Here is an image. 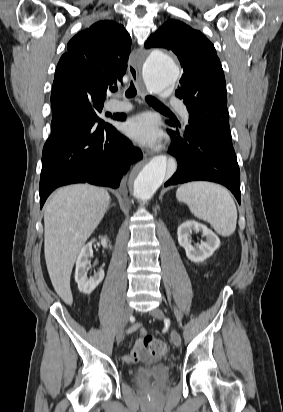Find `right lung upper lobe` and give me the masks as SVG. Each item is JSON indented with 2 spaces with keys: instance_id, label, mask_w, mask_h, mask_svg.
<instances>
[{
  "instance_id": "obj_1",
  "label": "right lung upper lobe",
  "mask_w": 283,
  "mask_h": 412,
  "mask_svg": "<svg viewBox=\"0 0 283 412\" xmlns=\"http://www.w3.org/2000/svg\"><path fill=\"white\" fill-rule=\"evenodd\" d=\"M130 47L131 38L125 28L109 20L99 21L74 36L56 68L52 115L82 100L104 103L109 86L122 82Z\"/></svg>"
}]
</instances>
